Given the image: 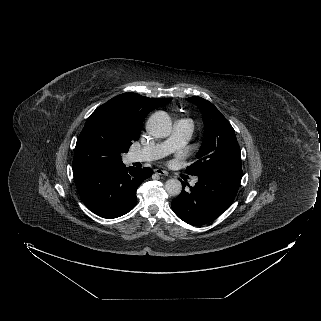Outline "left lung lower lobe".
I'll return each mask as SVG.
<instances>
[{
	"instance_id": "0a47b994",
	"label": "left lung lower lobe",
	"mask_w": 321,
	"mask_h": 321,
	"mask_svg": "<svg viewBox=\"0 0 321 321\" xmlns=\"http://www.w3.org/2000/svg\"><path fill=\"white\" fill-rule=\"evenodd\" d=\"M242 178V170H217L198 176L190 191L184 190L173 199L175 214L188 224H207L219 217L235 199Z\"/></svg>"
}]
</instances>
